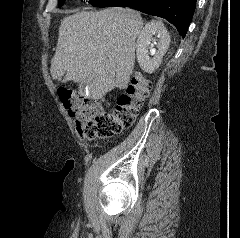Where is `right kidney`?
I'll return each instance as SVG.
<instances>
[{"instance_id":"right-kidney-1","label":"right kidney","mask_w":240,"mask_h":238,"mask_svg":"<svg viewBox=\"0 0 240 238\" xmlns=\"http://www.w3.org/2000/svg\"><path fill=\"white\" fill-rule=\"evenodd\" d=\"M158 39L157 52L150 50L153 58L149 56V45ZM170 44V35L160 20L150 21L139 34L136 44L137 60L141 69L152 74L161 64Z\"/></svg>"}]
</instances>
